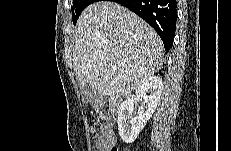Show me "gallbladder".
Here are the masks:
<instances>
[{
  "label": "gallbladder",
  "instance_id": "bac80fb5",
  "mask_svg": "<svg viewBox=\"0 0 231 151\" xmlns=\"http://www.w3.org/2000/svg\"><path fill=\"white\" fill-rule=\"evenodd\" d=\"M83 97L86 103L93 102L96 98L95 88L90 83H86L83 88Z\"/></svg>",
  "mask_w": 231,
  "mask_h": 151
}]
</instances>
